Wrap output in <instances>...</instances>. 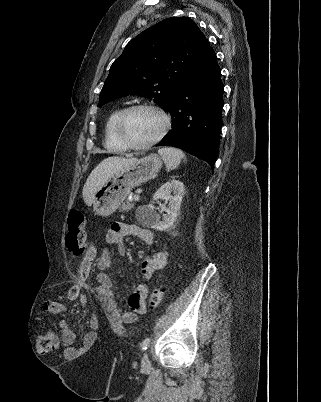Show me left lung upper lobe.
Masks as SVG:
<instances>
[{"instance_id": "obj_1", "label": "left lung upper lobe", "mask_w": 321, "mask_h": 402, "mask_svg": "<svg viewBox=\"0 0 321 402\" xmlns=\"http://www.w3.org/2000/svg\"><path fill=\"white\" fill-rule=\"evenodd\" d=\"M207 45L188 17H172L146 29L111 65L99 106L123 96L141 95L166 109L172 92Z\"/></svg>"}]
</instances>
